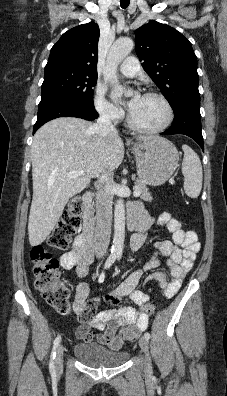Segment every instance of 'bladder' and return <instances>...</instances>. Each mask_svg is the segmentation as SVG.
<instances>
[{"mask_svg": "<svg viewBox=\"0 0 227 396\" xmlns=\"http://www.w3.org/2000/svg\"><path fill=\"white\" fill-rule=\"evenodd\" d=\"M73 352L79 361L94 368L118 367L129 359L126 351L112 350L95 343H79Z\"/></svg>", "mask_w": 227, "mask_h": 396, "instance_id": "bladder-1", "label": "bladder"}]
</instances>
